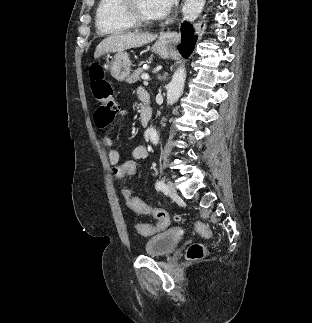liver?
Here are the masks:
<instances>
[{"mask_svg": "<svg viewBox=\"0 0 312 323\" xmlns=\"http://www.w3.org/2000/svg\"><path fill=\"white\" fill-rule=\"evenodd\" d=\"M157 36L154 34H138V32H129V34H111L104 38L100 44H98L94 58H100L104 54H114V52H124L129 48H141L144 44H150L153 40H156Z\"/></svg>", "mask_w": 312, "mask_h": 323, "instance_id": "liver-1", "label": "liver"}]
</instances>
